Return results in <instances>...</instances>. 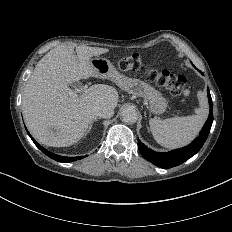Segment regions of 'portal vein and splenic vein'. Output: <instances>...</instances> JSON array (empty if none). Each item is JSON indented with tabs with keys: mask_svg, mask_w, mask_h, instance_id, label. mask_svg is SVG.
Segmentation results:
<instances>
[{
	"mask_svg": "<svg viewBox=\"0 0 232 232\" xmlns=\"http://www.w3.org/2000/svg\"><path fill=\"white\" fill-rule=\"evenodd\" d=\"M69 95L72 96V97H74V96L76 97L77 96V94H75L73 91H70Z\"/></svg>",
	"mask_w": 232,
	"mask_h": 232,
	"instance_id": "1",
	"label": "portal vein and splenic vein"
}]
</instances>
